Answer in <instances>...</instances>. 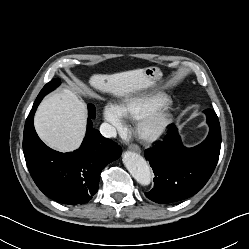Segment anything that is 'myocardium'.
<instances>
[{
    "instance_id": "1",
    "label": "myocardium",
    "mask_w": 249,
    "mask_h": 249,
    "mask_svg": "<svg viewBox=\"0 0 249 249\" xmlns=\"http://www.w3.org/2000/svg\"><path fill=\"white\" fill-rule=\"evenodd\" d=\"M172 120L170 108L165 103L140 118L137 126L138 134L145 141H155L166 132Z\"/></svg>"
}]
</instances>
